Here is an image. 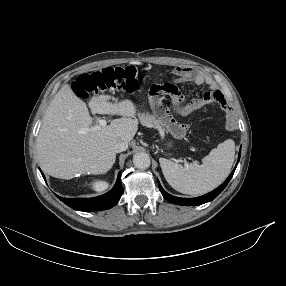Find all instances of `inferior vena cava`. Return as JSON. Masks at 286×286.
<instances>
[{
	"instance_id": "602c4592",
	"label": "inferior vena cava",
	"mask_w": 286,
	"mask_h": 286,
	"mask_svg": "<svg viewBox=\"0 0 286 286\" xmlns=\"http://www.w3.org/2000/svg\"><path fill=\"white\" fill-rule=\"evenodd\" d=\"M128 141L126 139H119L115 145H114V150L116 153L125 151L128 148Z\"/></svg>"
}]
</instances>
